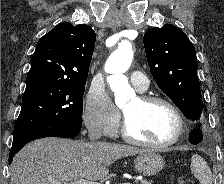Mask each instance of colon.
Here are the masks:
<instances>
[{
    "instance_id": "5ec220e1",
    "label": "colon",
    "mask_w": 224,
    "mask_h": 184,
    "mask_svg": "<svg viewBox=\"0 0 224 184\" xmlns=\"http://www.w3.org/2000/svg\"><path fill=\"white\" fill-rule=\"evenodd\" d=\"M179 184H191L190 181L184 177L180 178Z\"/></svg>"
}]
</instances>
